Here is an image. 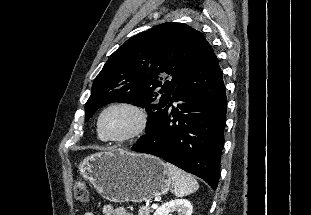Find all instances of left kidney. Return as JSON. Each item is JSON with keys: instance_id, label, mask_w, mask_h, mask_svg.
<instances>
[{"instance_id": "1", "label": "left kidney", "mask_w": 311, "mask_h": 215, "mask_svg": "<svg viewBox=\"0 0 311 215\" xmlns=\"http://www.w3.org/2000/svg\"><path fill=\"white\" fill-rule=\"evenodd\" d=\"M193 206L190 201L185 199H177L167 202L160 206L154 213V215H172L173 212H177L178 215H191Z\"/></svg>"}]
</instances>
